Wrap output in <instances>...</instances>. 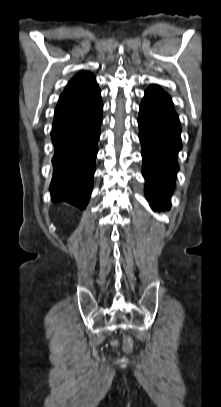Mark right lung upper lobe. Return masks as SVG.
<instances>
[{"label":"right lung upper lobe","instance_id":"obj_1","mask_svg":"<svg viewBox=\"0 0 221 407\" xmlns=\"http://www.w3.org/2000/svg\"><path fill=\"white\" fill-rule=\"evenodd\" d=\"M96 86L98 85L96 83L94 75L89 72L81 71L68 83L62 95L60 96V99L79 92H83Z\"/></svg>","mask_w":221,"mask_h":407}]
</instances>
